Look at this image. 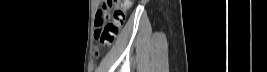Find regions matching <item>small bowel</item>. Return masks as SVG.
<instances>
[{
    "mask_svg": "<svg viewBox=\"0 0 267 72\" xmlns=\"http://www.w3.org/2000/svg\"><path fill=\"white\" fill-rule=\"evenodd\" d=\"M128 7H130V4L128 5ZM102 17L103 18L107 17V14L102 15ZM123 21H124V17L120 20V26L123 23Z\"/></svg>",
    "mask_w": 267,
    "mask_h": 72,
    "instance_id": "obj_1",
    "label": "small bowel"
}]
</instances>
